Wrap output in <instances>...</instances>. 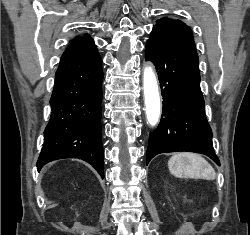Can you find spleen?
Listing matches in <instances>:
<instances>
[{
  "label": "spleen",
  "mask_w": 250,
  "mask_h": 235,
  "mask_svg": "<svg viewBox=\"0 0 250 235\" xmlns=\"http://www.w3.org/2000/svg\"><path fill=\"white\" fill-rule=\"evenodd\" d=\"M172 175L178 178H197L214 180L216 173L213 167L200 155L194 153H178L168 161Z\"/></svg>",
  "instance_id": "3e777b00"
}]
</instances>
